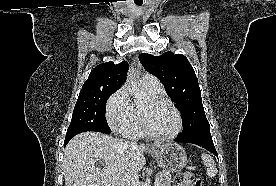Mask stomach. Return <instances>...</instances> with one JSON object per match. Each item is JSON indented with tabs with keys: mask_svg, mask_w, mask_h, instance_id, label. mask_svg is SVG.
Instances as JSON below:
<instances>
[{
	"mask_svg": "<svg viewBox=\"0 0 276 186\" xmlns=\"http://www.w3.org/2000/svg\"><path fill=\"white\" fill-rule=\"evenodd\" d=\"M153 155L159 166L168 172H178L187 163L185 150L176 143H168L159 149H154Z\"/></svg>",
	"mask_w": 276,
	"mask_h": 186,
	"instance_id": "0dacf381",
	"label": "stomach"
}]
</instances>
